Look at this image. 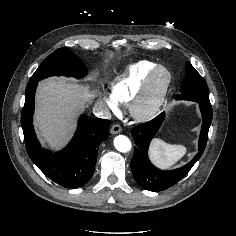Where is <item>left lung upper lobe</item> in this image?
Returning a JSON list of instances; mask_svg holds the SVG:
<instances>
[{"label":"left lung upper lobe","mask_w":236,"mask_h":236,"mask_svg":"<svg viewBox=\"0 0 236 236\" xmlns=\"http://www.w3.org/2000/svg\"><path fill=\"white\" fill-rule=\"evenodd\" d=\"M185 74L184 81L181 85V94L177 95V99L210 104L207 85L203 77L195 70L190 62L186 63Z\"/></svg>","instance_id":"left-lung-upper-lobe-1"}]
</instances>
